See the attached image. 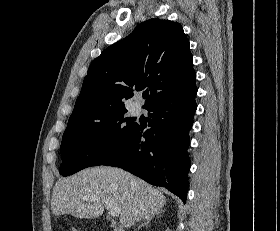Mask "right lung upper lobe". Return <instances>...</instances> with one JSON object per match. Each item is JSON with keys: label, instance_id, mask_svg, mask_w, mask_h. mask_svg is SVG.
Here are the masks:
<instances>
[{"label": "right lung upper lobe", "instance_id": "right-lung-upper-lobe-1", "mask_svg": "<svg viewBox=\"0 0 280 231\" xmlns=\"http://www.w3.org/2000/svg\"><path fill=\"white\" fill-rule=\"evenodd\" d=\"M189 40L179 23L149 19L106 48L89 66L69 120L125 111L134 91L149 89L143 106L195 86Z\"/></svg>", "mask_w": 280, "mask_h": 231}]
</instances>
